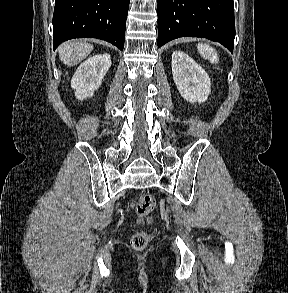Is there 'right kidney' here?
Returning a JSON list of instances; mask_svg holds the SVG:
<instances>
[{"label": "right kidney", "instance_id": "ca27d5eb", "mask_svg": "<svg viewBox=\"0 0 288 293\" xmlns=\"http://www.w3.org/2000/svg\"><path fill=\"white\" fill-rule=\"evenodd\" d=\"M111 66L109 54H99L85 60L71 79V87L75 89L78 100L91 97L97 90L105 74Z\"/></svg>", "mask_w": 288, "mask_h": 293}]
</instances>
